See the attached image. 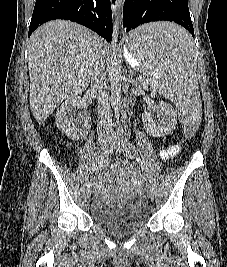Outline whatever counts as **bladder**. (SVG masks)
Listing matches in <instances>:
<instances>
[{"label":"bladder","mask_w":227,"mask_h":267,"mask_svg":"<svg viewBox=\"0 0 227 267\" xmlns=\"http://www.w3.org/2000/svg\"><path fill=\"white\" fill-rule=\"evenodd\" d=\"M91 217L113 235H128L145 225L149 209L137 195L122 200L97 199L91 206Z\"/></svg>","instance_id":"31cf9c89"}]
</instances>
